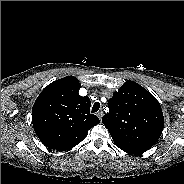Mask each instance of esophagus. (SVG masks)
Returning a JSON list of instances; mask_svg holds the SVG:
<instances>
[{
    "label": "esophagus",
    "mask_w": 184,
    "mask_h": 184,
    "mask_svg": "<svg viewBox=\"0 0 184 184\" xmlns=\"http://www.w3.org/2000/svg\"><path fill=\"white\" fill-rule=\"evenodd\" d=\"M97 116L101 120L102 119V116H103V111L100 110L99 112H97Z\"/></svg>",
    "instance_id": "34e87169"
}]
</instances>
